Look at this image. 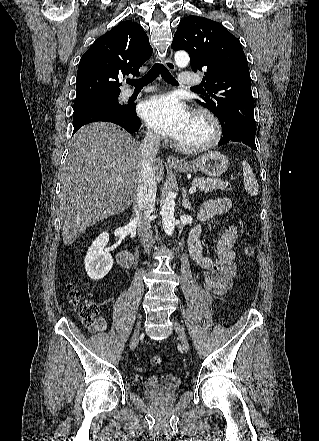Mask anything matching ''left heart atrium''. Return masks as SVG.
<instances>
[{
	"label": "left heart atrium",
	"instance_id": "left-heart-atrium-1",
	"mask_svg": "<svg viewBox=\"0 0 319 441\" xmlns=\"http://www.w3.org/2000/svg\"><path fill=\"white\" fill-rule=\"evenodd\" d=\"M140 114L151 129L174 139L184 134L192 119L186 106L172 94L145 99L140 105Z\"/></svg>",
	"mask_w": 319,
	"mask_h": 441
}]
</instances>
